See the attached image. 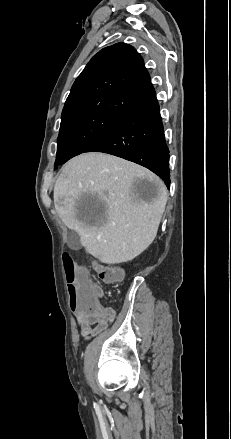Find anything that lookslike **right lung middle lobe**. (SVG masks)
Wrapping results in <instances>:
<instances>
[{
  "instance_id": "1",
  "label": "right lung middle lobe",
  "mask_w": 231,
  "mask_h": 439,
  "mask_svg": "<svg viewBox=\"0 0 231 439\" xmlns=\"http://www.w3.org/2000/svg\"><path fill=\"white\" fill-rule=\"evenodd\" d=\"M123 117L92 111L61 118L55 169L83 153Z\"/></svg>"
}]
</instances>
